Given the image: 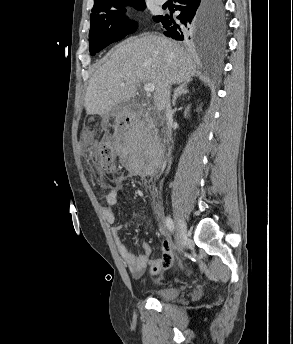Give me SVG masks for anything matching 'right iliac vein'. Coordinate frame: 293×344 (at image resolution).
<instances>
[{
	"mask_svg": "<svg viewBox=\"0 0 293 344\" xmlns=\"http://www.w3.org/2000/svg\"><path fill=\"white\" fill-rule=\"evenodd\" d=\"M175 227L179 245L182 247L183 240L187 237V226L179 214H176L175 217Z\"/></svg>",
	"mask_w": 293,
	"mask_h": 344,
	"instance_id": "right-iliac-vein-1",
	"label": "right iliac vein"
}]
</instances>
